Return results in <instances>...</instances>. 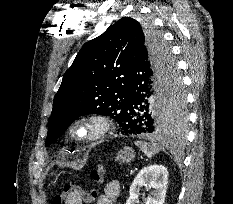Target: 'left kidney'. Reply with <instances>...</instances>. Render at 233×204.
Instances as JSON below:
<instances>
[{"label":"left kidney","instance_id":"obj_1","mask_svg":"<svg viewBox=\"0 0 233 204\" xmlns=\"http://www.w3.org/2000/svg\"><path fill=\"white\" fill-rule=\"evenodd\" d=\"M168 171L163 165H150L143 168L135 177L129 190L126 204H137L141 188L153 189L152 197L145 204H164L167 190Z\"/></svg>","mask_w":233,"mask_h":204}]
</instances>
